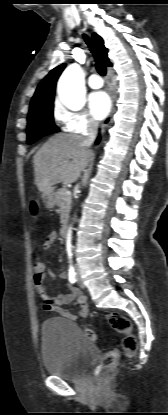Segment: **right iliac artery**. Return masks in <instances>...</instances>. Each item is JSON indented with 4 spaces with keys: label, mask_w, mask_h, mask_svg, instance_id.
<instances>
[{
    "label": "right iliac artery",
    "mask_w": 168,
    "mask_h": 415,
    "mask_svg": "<svg viewBox=\"0 0 168 415\" xmlns=\"http://www.w3.org/2000/svg\"><path fill=\"white\" fill-rule=\"evenodd\" d=\"M69 281L74 284L77 281L76 271L73 267L69 269Z\"/></svg>",
    "instance_id": "right-iliac-artery-1"
}]
</instances>
